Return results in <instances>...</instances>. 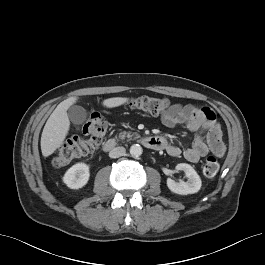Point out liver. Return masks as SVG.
I'll return each instance as SVG.
<instances>
[{"mask_svg":"<svg viewBox=\"0 0 265 265\" xmlns=\"http://www.w3.org/2000/svg\"><path fill=\"white\" fill-rule=\"evenodd\" d=\"M78 100L77 97H69L62 101L48 118L41 135V151L44 157L53 154L65 140L70 129V121L67 110ZM126 97H113L103 101L107 108L118 107L128 102Z\"/></svg>","mask_w":265,"mask_h":265,"instance_id":"obj_1","label":"liver"}]
</instances>
